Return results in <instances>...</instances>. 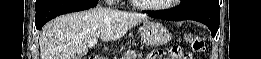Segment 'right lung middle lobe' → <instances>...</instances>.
<instances>
[{
	"mask_svg": "<svg viewBox=\"0 0 261 59\" xmlns=\"http://www.w3.org/2000/svg\"><path fill=\"white\" fill-rule=\"evenodd\" d=\"M42 1H43V0H36V5H35V7L39 6Z\"/></svg>",
	"mask_w": 261,
	"mask_h": 59,
	"instance_id": "right-lung-middle-lobe-1",
	"label": "right lung middle lobe"
}]
</instances>
